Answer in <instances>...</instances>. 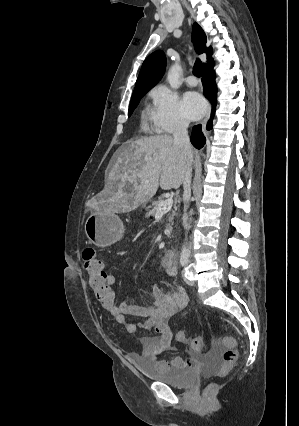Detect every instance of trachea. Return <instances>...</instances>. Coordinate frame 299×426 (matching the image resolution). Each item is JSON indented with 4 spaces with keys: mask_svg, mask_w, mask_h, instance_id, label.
Segmentation results:
<instances>
[{
    "mask_svg": "<svg viewBox=\"0 0 299 426\" xmlns=\"http://www.w3.org/2000/svg\"><path fill=\"white\" fill-rule=\"evenodd\" d=\"M194 74L197 77H201L203 73V66L200 60H196L193 68Z\"/></svg>",
    "mask_w": 299,
    "mask_h": 426,
    "instance_id": "obj_1",
    "label": "trachea"
}]
</instances>
